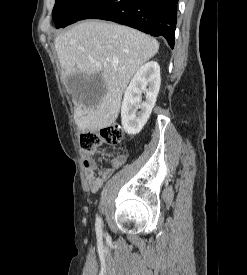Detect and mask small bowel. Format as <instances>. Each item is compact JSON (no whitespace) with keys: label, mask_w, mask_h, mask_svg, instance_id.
Returning a JSON list of instances; mask_svg holds the SVG:
<instances>
[{"label":"small bowel","mask_w":247,"mask_h":275,"mask_svg":"<svg viewBox=\"0 0 247 275\" xmlns=\"http://www.w3.org/2000/svg\"><path fill=\"white\" fill-rule=\"evenodd\" d=\"M126 161V156L123 154L117 155L106 167H100L98 161L90 152H84L83 164L84 173L88 185L92 192H97L103 183Z\"/></svg>","instance_id":"c3829d8e"}]
</instances>
